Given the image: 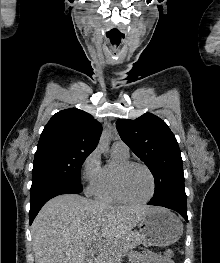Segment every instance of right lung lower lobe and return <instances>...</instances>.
<instances>
[{"label": "right lung lower lobe", "instance_id": "right-lung-lower-lobe-1", "mask_svg": "<svg viewBox=\"0 0 220 263\" xmlns=\"http://www.w3.org/2000/svg\"><path fill=\"white\" fill-rule=\"evenodd\" d=\"M82 190L80 184L58 179H41L32 182L30 189V224H32L41 207L51 198L61 194H78Z\"/></svg>", "mask_w": 220, "mask_h": 263}]
</instances>
